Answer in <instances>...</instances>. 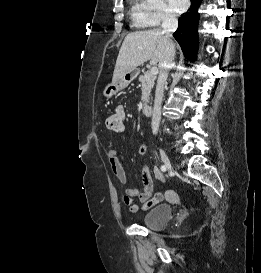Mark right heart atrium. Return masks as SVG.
I'll return each instance as SVG.
<instances>
[{
    "label": "right heart atrium",
    "instance_id": "obj_1",
    "mask_svg": "<svg viewBox=\"0 0 261 273\" xmlns=\"http://www.w3.org/2000/svg\"><path fill=\"white\" fill-rule=\"evenodd\" d=\"M139 24L146 27L159 26L175 18V12L166 0H138Z\"/></svg>",
    "mask_w": 261,
    "mask_h": 273
}]
</instances>
